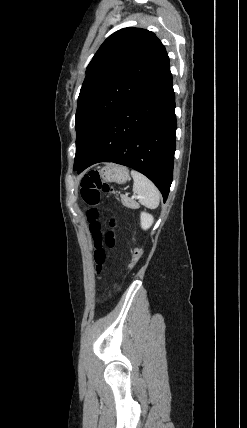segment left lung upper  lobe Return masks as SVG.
<instances>
[{
    "instance_id": "5c2ea615",
    "label": "left lung upper lobe",
    "mask_w": 247,
    "mask_h": 428,
    "mask_svg": "<svg viewBox=\"0 0 247 428\" xmlns=\"http://www.w3.org/2000/svg\"><path fill=\"white\" fill-rule=\"evenodd\" d=\"M169 63L151 31L124 28L109 36L92 58L78 97L75 164L85 160L120 104Z\"/></svg>"
}]
</instances>
